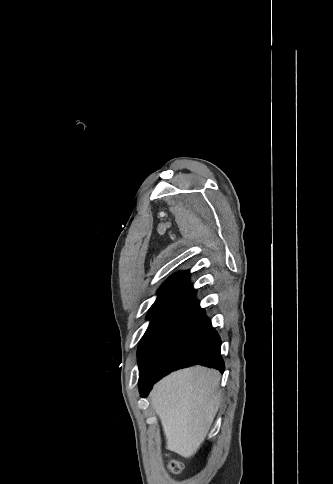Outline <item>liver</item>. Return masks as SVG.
<instances>
[{"label": "liver", "instance_id": "liver-1", "mask_svg": "<svg viewBox=\"0 0 333 484\" xmlns=\"http://www.w3.org/2000/svg\"><path fill=\"white\" fill-rule=\"evenodd\" d=\"M220 377L217 370L196 366L172 373L154 386L151 404L168 449L186 458L196 454L220 405Z\"/></svg>", "mask_w": 333, "mask_h": 484}]
</instances>
